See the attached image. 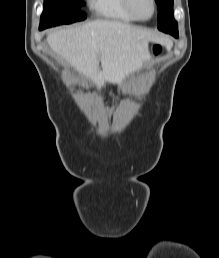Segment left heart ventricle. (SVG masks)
Masks as SVG:
<instances>
[{"label":"left heart ventricle","instance_id":"b2bd125f","mask_svg":"<svg viewBox=\"0 0 219 258\" xmlns=\"http://www.w3.org/2000/svg\"><path fill=\"white\" fill-rule=\"evenodd\" d=\"M136 13L143 18L152 14L153 6L151 0H133Z\"/></svg>","mask_w":219,"mask_h":258}]
</instances>
